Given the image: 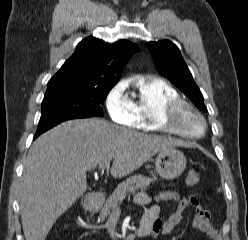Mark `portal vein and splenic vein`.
Masks as SVG:
<instances>
[{"label":"portal vein and splenic vein","mask_w":248,"mask_h":240,"mask_svg":"<svg viewBox=\"0 0 248 240\" xmlns=\"http://www.w3.org/2000/svg\"><path fill=\"white\" fill-rule=\"evenodd\" d=\"M110 165V160L104 161L103 163L99 164L100 169H105Z\"/></svg>","instance_id":"1"}]
</instances>
